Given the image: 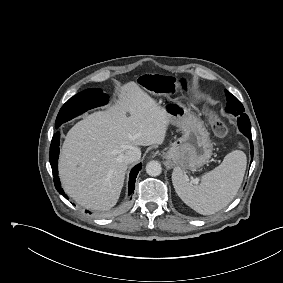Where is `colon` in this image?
Masks as SVG:
<instances>
[{"mask_svg": "<svg viewBox=\"0 0 283 283\" xmlns=\"http://www.w3.org/2000/svg\"><path fill=\"white\" fill-rule=\"evenodd\" d=\"M139 84L147 91L157 95H166L175 92L178 88L186 87L185 82H177L171 77L161 75H144L140 78ZM210 123L216 135H227L228 127L217 113L210 114Z\"/></svg>", "mask_w": 283, "mask_h": 283, "instance_id": "5ec220e1", "label": "colon"}]
</instances>
